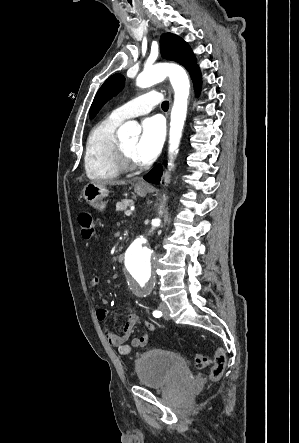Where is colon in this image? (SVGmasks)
<instances>
[{
    "label": "colon",
    "instance_id": "colon-1",
    "mask_svg": "<svg viewBox=\"0 0 299 443\" xmlns=\"http://www.w3.org/2000/svg\"><path fill=\"white\" fill-rule=\"evenodd\" d=\"M78 222L81 229V235L85 239H90L95 234L94 219L89 211H81L78 214ZM213 363L210 377L212 381H218L224 374L226 367V355L222 348H217L213 360L206 354L198 353L195 356V365L197 368H204Z\"/></svg>",
    "mask_w": 299,
    "mask_h": 443
}]
</instances>
